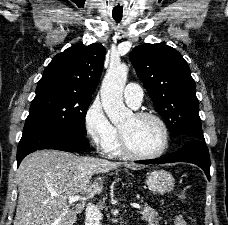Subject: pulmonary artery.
<instances>
[{"label": "pulmonary artery", "instance_id": "e3ab8cb5", "mask_svg": "<svg viewBox=\"0 0 228 225\" xmlns=\"http://www.w3.org/2000/svg\"><path fill=\"white\" fill-rule=\"evenodd\" d=\"M141 85H126L124 100L132 108L137 109L143 100Z\"/></svg>", "mask_w": 228, "mask_h": 225}]
</instances>
